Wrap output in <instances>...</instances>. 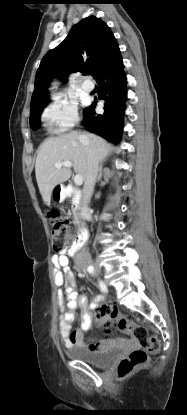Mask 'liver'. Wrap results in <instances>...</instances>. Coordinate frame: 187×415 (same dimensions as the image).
Returning <instances> with one entry per match:
<instances>
[{"instance_id": "obj_1", "label": "liver", "mask_w": 187, "mask_h": 415, "mask_svg": "<svg viewBox=\"0 0 187 415\" xmlns=\"http://www.w3.org/2000/svg\"><path fill=\"white\" fill-rule=\"evenodd\" d=\"M81 136L88 138L99 161H103L107 157L111 145L95 134H81L73 131L57 137H50L40 145L36 158L35 175L39 191L47 205H50L54 187L67 181L72 174L69 167L62 166L57 169L55 163L71 161L74 171L84 180L86 178L87 151L80 140Z\"/></svg>"}]
</instances>
